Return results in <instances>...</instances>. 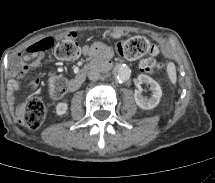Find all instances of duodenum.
<instances>
[{"instance_id":"1","label":"duodenum","mask_w":215,"mask_h":183,"mask_svg":"<svg viewBox=\"0 0 215 183\" xmlns=\"http://www.w3.org/2000/svg\"><path fill=\"white\" fill-rule=\"evenodd\" d=\"M110 62L106 58H99L93 60L90 64H88L84 69H81L76 73V75L68 82L67 88L70 91H75L84 82L86 78V73L91 70V69H96V70H105L109 67Z\"/></svg>"}]
</instances>
